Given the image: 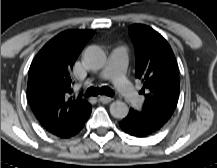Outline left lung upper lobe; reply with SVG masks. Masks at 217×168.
I'll use <instances>...</instances> for the list:
<instances>
[{
    "label": "left lung upper lobe",
    "instance_id": "1",
    "mask_svg": "<svg viewBox=\"0 0 217 168\" xmlns=\"http://www.w3.org/2000/svg\"><path fill=\"white\" fill-rule=\"evenodd\" d=\"M129 34L135 47L136 78L143 82L140 93L145 96L140 112L167 122L179 97L174 53L166 39L147 25H131Z\"/></svg>",
    "mask_w": 217,
    "mask_h": 168
}]
</instances>
